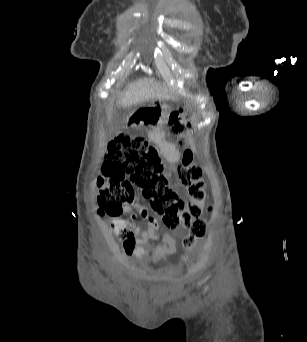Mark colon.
Returning <instances> with one entry per match:
<instances>
[{"label":"colon","instance_id":"obj_1","mask_svg":"<svg viewBox=\"0 0 307 342\" xmlns=\"http://www.w3.org/2000/svg\"><path fill=\"white\" fill-rule=\"evenodd\" d=\"M168 125L177 137L179 147L186 149L185 133L189 129L184 109L170 112ZM182 161L177 165V180L185 189L188 200L182 199L163 175V167L155 147L144 137L129 133L118 134L107 147L103 169L97 177L100 189L98 203L102 214L119 215L123 212L124 192L140 191L143 201L150 210L162 219L168 229L183 225L189 233L182 239L185 250L194 248L203 238L206 221L200 218L202 202L205 198V183L201 179L202 170L195 164L194 152L181 153ZM135 196V194H134ZM134 199V197H133ZM177 239L164 236V243H158L156 254H176Z\"/></svg>","mask_w":307,"mask_h":342}]
</instances>
